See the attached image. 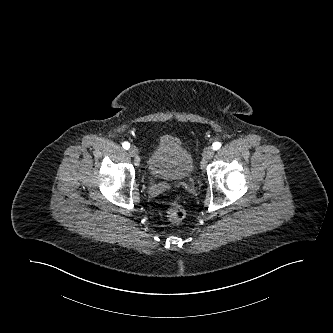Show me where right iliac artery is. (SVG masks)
Instances as JSON below:
<instances>
[{
    "mask_svg": "<svg viewBox=\"0 0 333 333\" xmlns=\"http://www.w3.org/2000/svg\"><path fill=\"white\" fill-rule=\"evenodd\" d=\"M122 146H123L124 149H129L130 144H129L128 142H124V143L122 144Z\"/></svg>",
    "mask_w": 333,
    "mask_h": 333,
    "instance_id": "82829eb1",
    "label": "right iliac artery"
}]
</instances>
